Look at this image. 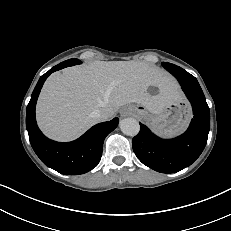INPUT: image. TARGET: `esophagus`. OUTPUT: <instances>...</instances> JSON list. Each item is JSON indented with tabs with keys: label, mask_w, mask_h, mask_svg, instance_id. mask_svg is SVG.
I'll return each mask as SVG.
<instances>
[{
	"label": "esophagus",
	"mask_w": 231,
	"mask_h": 231,
	"mask_svg": "<svg viewBox=\"0 0 231 231\" xmlns=\"http://www.w3.org/2000/svg\"><path fill=\"white\" fill-rule=\"evenodd\" d=\"M121 115L122 116H128V115H131V112L128 109L124 108L121 110Z\"/></svg>",
	"instance_id": "34e87169"
}]
</instances>
